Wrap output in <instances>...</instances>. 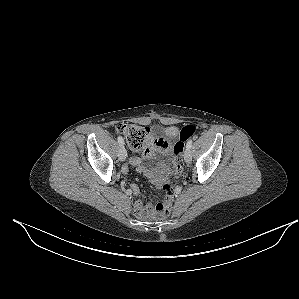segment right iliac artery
<instances>
[{
	"instance_id": "right-iliac-artery-1",
	"label": "right iliac artery",
	"mask_w": 299,
	"mask_h": 299,
	"mask_svg": "<svg viewBox=\"0 0 299 299\" xmlns=\"http://www.w3.org/2000/svg\"><path fill=\"white\" fill-rule=\"evenodd\" d=\"M118 143L123 146L124 145V140L121 136L118 137Z\"/></svg>"
}]
</instances>
